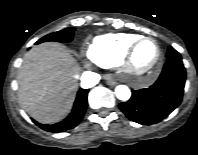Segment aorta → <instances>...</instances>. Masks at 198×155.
<instances>
[{
	"label": "aorta",
	"instance_id": "1",
	"mask_svg": "<svg viewBox=\"0 0 198 155\" xmlns=\"http://www.w3.org/2000/svg\"><path fill=\"white\" fill-rule=\"evenodd\" d=\"M115 95L121 101H127L131 97V91L126 85H118L115 88Z\"/></svg>",
	"mask_w": 198,
	"mask_h": 155
}]
</instances>
